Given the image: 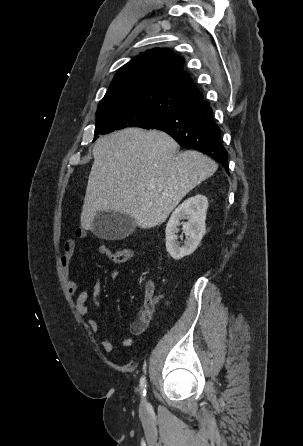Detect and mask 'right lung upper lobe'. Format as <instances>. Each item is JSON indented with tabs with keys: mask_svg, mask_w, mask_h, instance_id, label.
Listing matches in <instances>:
<instances>
[{
	"mask_svg": "<svg viewBox=\"0 0 303 446\" xmlns=\"http://www.w3.org/2000/svg\"><path fill=\"white\" fill-rule=\"evenodd\" d=\"M184 59L167 49L155 48L136 56L115 74L99 107L111 104L142 105L164 112L173 102L181 105L203 98Z\"/></svg>",
	"mask_w": 303,
	"mask_h": 446,
	"instance_id": "cb5924a9",
	"label": "right lung upper lobe"
}]
</instances>
